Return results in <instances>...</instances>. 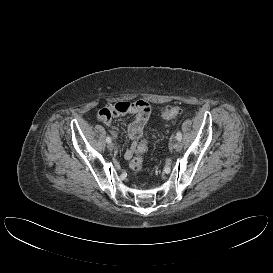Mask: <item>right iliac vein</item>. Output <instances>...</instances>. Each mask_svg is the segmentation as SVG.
<instances>
[{"label":"right iliac vein","instance_id":"obj_1","mask_svg":"<svg viewBox=\"0 0 273 273\" xmlns=\"http://www.w3.org/2000/svg\"><path fill=\"white\" fill-rule=\"evenodd\" d=\"M107 147L110 151H112L114 149V144L112 142H110V143H108Z\"/></svg>","mask_w":273,"mask_h":273}]
</instances>
